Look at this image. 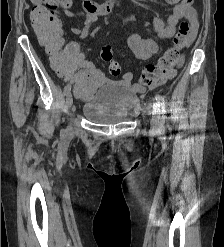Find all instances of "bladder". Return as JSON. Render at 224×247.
<instances>
[{
  "label": "bladder",
  "mask_w": 224,
  "mask_h": 247,
  "mask_svg": "<svg viewBox=\"0 0 224 247\" xmlns=\"http://www.w3.org/2000/svg\"><path fill=\"white\" fill-rule=\"evenodd\" d=\"M138 99L128 88L106 84L101 86L82 105V115L97 125L125 123L136 114Z\"/></svg>",
  "instance_id": "obj_1"
}]
</instances>
